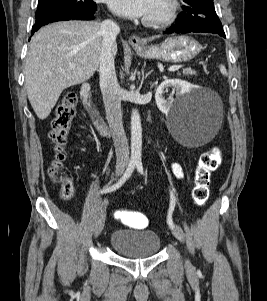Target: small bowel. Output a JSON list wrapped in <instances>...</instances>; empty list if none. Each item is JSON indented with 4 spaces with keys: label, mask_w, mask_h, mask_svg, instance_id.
<instances>
[{
    "label": "small bowel",
    "mask_w": 267,
    "mask_h": 301,
    "mask_svg": "<svg viewBox=\"0 0 267 301\" xmlns=\"http://www.w3.org/2000/svg\"><path fill=\"white\" fill-rule=\"evenodd\" d=\"M172 171L174 173V175L178 178V179H183L184 178V171L182 166L179 163H172Z\"/></svg>",
    "instance_id": "c3829d8e"
}]
</instances>
